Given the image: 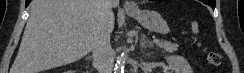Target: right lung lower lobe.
I'll return each instance as SVG.
<instances>
[{"mask_svg": "<svg viewBox=\"0 0 244 73\" xmlns=\"http://www.w3.org/2000/svg\"><path fill=\"white\" fill-rule=\"evenodd\" d=\"M32 0H26V7L29 5V3L31 2Z\"/></svg>", "mask_w": 244, "mask_h": 73, "instance_id": "1", "label": "right lung lower lobe"}]
</instances>
